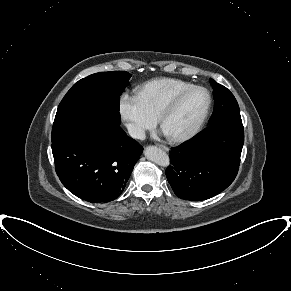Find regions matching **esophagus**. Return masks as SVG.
I'll return each mask as SVG.
<instances>
[{"label":"esophagus","instance_id":"34e87169","mask_svg":"<svg viewBox=\"0 0 291 291\" xmlns=\"http://www.w3.org/2000/svg\"><path fill=\"white\" fill-rule=\"evenodd\" d=\"M159 147L165 151H169V148L167 146L159 145Z\"/></svg>","mask_w":291,"mask_h":291}]
</instances>
